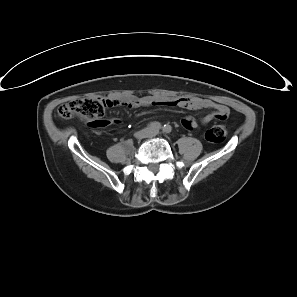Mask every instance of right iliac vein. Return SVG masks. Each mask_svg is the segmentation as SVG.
<instances>
[{"label": "right iliac vein", "instance_id": "63e3f726", "mask_svg": "<svg viewBox=\"0 0 297 297\" xmlns=\"http://www.w3.org/2000/svg\"><path fill=\"white\" fill-rule=\"evenodd\" d=\"M148 136V130L143 129L135 133V138L141 140Z\"/></svg>", "mask_w": 297, "mask_h": 297}]
</instances>
